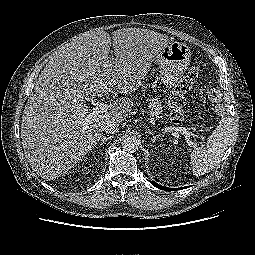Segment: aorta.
Instances as JSON below:
<instances>
[{"label": "aorta", "mask_w": 255, "mask_h": 255, "mask_svg": "<svg viewBox=\"0 0 255 255\" xmlns=\"http://www.w3.org/2000/svg\"><path fill=\"white\" fill-rule=\"evenodd\" d=\"M139 139L136 136H126L122 141V147L127 152H136L139 149Z\"/></svg>", "instance_id": "aorta-1"}]
</instances>
